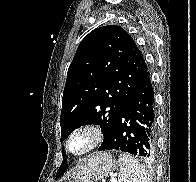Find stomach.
I'll return each mask as SVG.
<instances>
[{
  "instance_id": "1",
  "label": "stomach",
  "mask_w": 196,
  "mask_h": 182,
  "mask_svg": "<svg viewBox=\"0 0 196 182\" xmlns=\"http://www.w3.org/2000/svg\"><path fill=\"white\" fill-rule=\"evenodd\" d=\"M115 161L109 153H94L82 161L67 182H93L107 176Z\"/></svg>"
}]
</instances>
